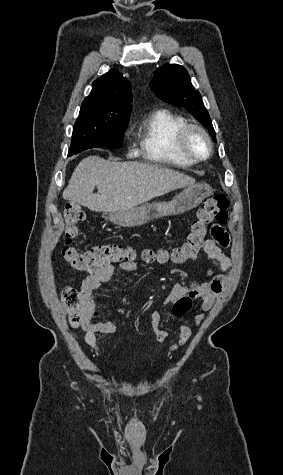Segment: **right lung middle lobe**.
<instances>
[{
	"label": "right lung middle lobe",
	"instance_id": "1",
	"mask_svg": "<svg viewBox=\"0 0 283 475\" xmlns=\"http://www.w3.org/2000/svg\"><path fill=\"white\" fill-rule=\"evenodd\" d=\"M131 108V105L82 104L73 128L68 155L71 156L94 147H121Z\"/></svg>",
	"mask_w": 283,
	"mask_h": 475
}]
</instances>
